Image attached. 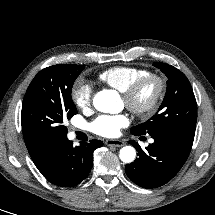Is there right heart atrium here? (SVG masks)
Segmentation results:
<instances>
[{"label":"right heart atrium","instance_id":"1","mask_svg":"<svg viewBox=\"0 0 215 215\" xmlns=\"http://www.w3.org/2000/svg\"><path fill=\"white\" fill-rule=\"evenodd\" d=\"M92 95V85L86 80L77 81L71 92L72 100L79 109H87L90 107Z\"/></svg>","mask_w":215,"mask_h":215}]
</instances>
